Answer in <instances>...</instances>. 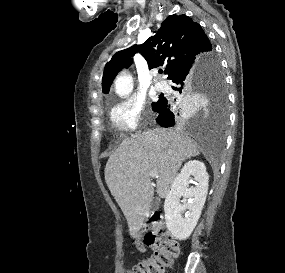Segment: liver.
Instances as JSON below:
<instances>
[{
	"mask_svg": "<svg viewBox=\"0 0 285 273\" xmlns=\"http://www.w3.org/2000/svg\"><path fill=\"white\" fill-rule=\"evenodd\" d=\"M199 154L197 143L186 134L156 128L126 138L110 155L105 167V181L133 238L150 213L154 195L150 171L158 172L157 193L164 198L182 163Z\"/></svg>",
	"mask_w": 285,
	"mask_h": 273,
	"instance_id": "obj_1",
	"label": "liver"
}]
</instances>
